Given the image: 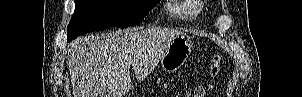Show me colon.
<instances>
[{
  "mask_svg": "<svg viewBox=\"0 0 302 97\" xmlns=\"http://www.w3.org/2000/svg\"><path fill=\"white\" fill-rule=\"evenodd\" d=\"M220 69H221V57L216 55L213 57L211 68H210L212 76L217 77L220 73ZM209 88H210L209 86H203V85L197 86L195 88L188 90L186 92V97H205Z\"/></svg>",
  "mask_w": 302,
  "mask_h": 97,
  "instance_id": "1",
  "label": "colon"
}]
</instances>
